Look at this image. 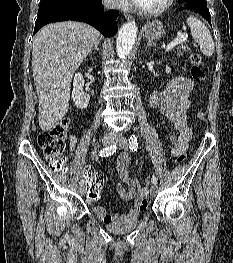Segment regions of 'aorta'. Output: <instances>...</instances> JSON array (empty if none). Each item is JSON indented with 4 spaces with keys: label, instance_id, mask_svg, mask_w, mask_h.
<instances>
[{
    "label": "aorta",
    "instance_id": "762f6f07",
    "mask_svg": "<svg viewBox=\"0 0 233 263\" xmlns=\"http://www.w3.org/2000/svg\"><path fill=\"white\" fill-rule=\"evenodd\" d=\"M137 36V25L134 21L125 23L118 33L116 49L120 58H125L132 51Z\"/></svg>",
    "mask_w": 233,
    "mask_h": 263
}]
</instances>
